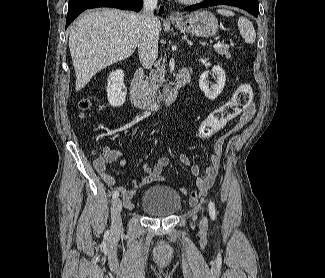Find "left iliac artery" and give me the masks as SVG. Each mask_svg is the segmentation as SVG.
Listing matches in <instances>:
<instances>
[{"mask_svg": "<svg viewBox=\"0 0 325 278\" xmlns=\"http://www.w3.org/2000/svg\"><path fill=\"white\" fill-rule=\"evenodd\" d=\"M209 212L211 218L214 220L216 218L215 205L212 201L209 202Z\"/></svg>", "mask_w": 325, "mask_h": 278, "instance_id": "obj_1", "label": "left iliac artery"}]
</instances>
